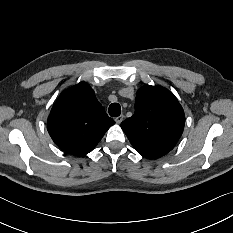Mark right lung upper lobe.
Masks as SVG:
<instances>
[{
    "label": "right lung upper lobe",
    "instance_id": "1",
    "mask_svg": "<svg viewBox=\"0 0 233 233\" xmlns=\"http://www.w3.org/2000/svg\"><path fill=\"white\" fill-rule=\"evenodd\" d=\"M113 124L91 87L80 82L61 93L50 112L47 128L59 148L84 156Z\"/></svg>",
    "mask_w": 233,
    "mask_h": 233
}]
</instances>
